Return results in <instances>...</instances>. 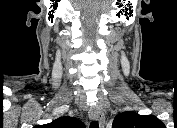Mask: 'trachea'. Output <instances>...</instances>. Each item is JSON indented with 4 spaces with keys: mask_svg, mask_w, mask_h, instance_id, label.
I'll use <instances>...</instances> for the list:
<instances>
[{
    "mask_svg": "<svg viewBox=\"0 0 177 128\" xmlns=\"http://www.w3.org/2000/svg\"><path fill=\"white\" fill-rule=\"evenodd\" d=\"M89 128H99V123H98V121H93V122H91Z\"/></svg>",
    "mask_w": 177,
    "mask_h": 128,
    "instance_id": "trachea-1",
    "label": "trachea"
}]
</instances>
